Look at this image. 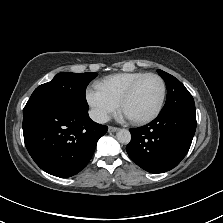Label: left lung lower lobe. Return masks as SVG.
I'll use <instances>...</instances> for the list:
<instances>
[{
	"label": "left lung lower lobe",
	"instance_id": "0a47b994",
	"mask_svg": "<svg viewBox=\"0 0 223 223\" xmlns=\"http://www.w3.org/2000/svg\"><path fill=\"white\" fill-rule=\"evenodd\" d=\"M195 130V111L162 113L151 123L130 129L131 141L126 151L144 170L163 173L176 167L185 157Z\"/></svg>",
	"mask_w": 223,
	"mask_h": 223
}]
</instances>
